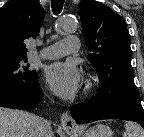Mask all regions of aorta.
<instances>
[{"instance_id": "1", "label": "aorta", "mask_w": 144, "mask_h": 137, "mask_svg": "<svg viewBox=\"0 0 144 137\" xmlns=\"http://www.w3.org/2000/svg\"><path fill=\"white\" fill-rule=\"evenodd\" d=\"M77 23L72 18H63L57 22L56 30L58 32H72L76 29Z\"/></svg>"}]
</instances>
